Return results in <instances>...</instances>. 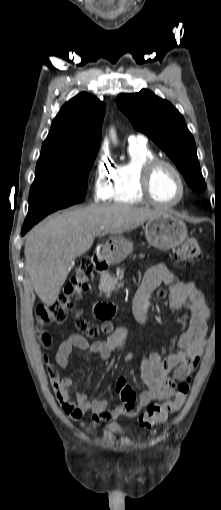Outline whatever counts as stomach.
Here are the masks:
<instances>
[{
	"label": "stomach",
	"instance_id": "0dacf381",
	"mask_svg": "<svg viewBox=\"0 0 221 510\" xmlns=\"http://www.w3.org/2000/svg\"><path fill=\"white\" fill-rule=\"evenodd\" d=\"M144 231L148 243L161 251L173 249L187 238L185 223L166 212L146 221ZM108 250L113 261H120L133 250V243L124 237H115L108 244Z\"/></svg>",
	"mask_w": 221,
	"mask_h": 510
}]
</instances>
